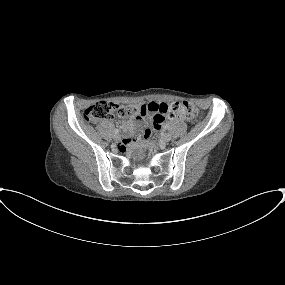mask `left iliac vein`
Masks as SVG:
<instances>
[{"label": "left iliac vein", "instance_id": "left-iliac-vein-1", "mask_svg": "<svg viewBox=\"0 0 285 285\" xmlns=\"http://www.w3.org/2000/svg\"><path fill=\"white\" fill-rule=\"evenodd\" d=\"M170 140H171V135L169 133H165L161 138V141L163 143H168Z\"/></svg>", "mask_w": 285, "mask_h": 285}]
</instances>
